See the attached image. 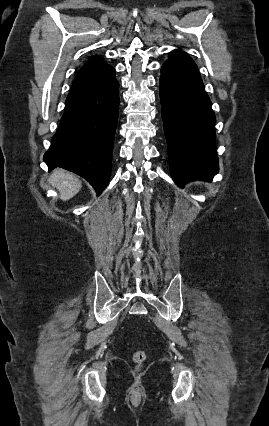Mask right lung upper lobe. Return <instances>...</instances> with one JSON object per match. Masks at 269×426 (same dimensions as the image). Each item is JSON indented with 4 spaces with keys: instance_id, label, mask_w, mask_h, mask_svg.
<instances>
[{
    "instance_id": "1",
    "label": "right lung upper lobe",
    "mask_w": 269,
    "mask_h": 426,
    "mask_svg": "<svg viewBox=\"0 0 269 426\" xmlns=\"http://www.w3.org/2000/svg\"><path fill=\"white\" fill-rule=\"evenodd\" d=\"M105 66H107V64L102 57L94 56L83 65L78 74L93 72Z\"/></svg>"
}]
</instances>
